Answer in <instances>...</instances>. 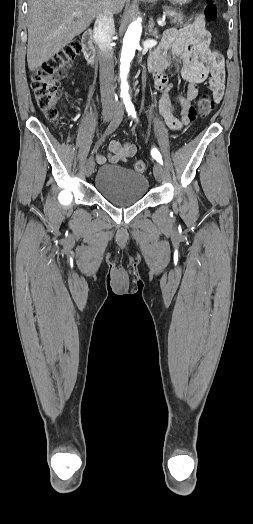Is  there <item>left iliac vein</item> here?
I'll list each match as a JSON object with an SVG mask.
<instances>
[{
  "instance_id": "left-iliac-vein-1",
  "label": "left iliac vein",
  "mask_w": 253,
  "mask_h": 524,
  "mask_svg": "<svg viewBox=\"0 0 253 524\" xmlns=\"http://www.w3.org/2000/svg\"><path fill=\"white\" fill-rule=\"evenodd\" d=\"M123 110V107L121 105L118 106L117 112H121ZM153 173L154 177L158 182H161L163 179V168L159 163H156L153 167Z\"/></svg>"
}]
</instances>
